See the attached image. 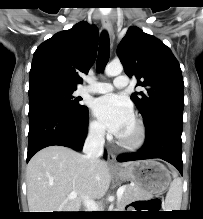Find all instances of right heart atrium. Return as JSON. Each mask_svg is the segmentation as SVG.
Returning a JSON list of instances; mask_svg holds the SVG:
<instances>
[{"label": "right heart atrium", "mask_w": 203, "mask_h": 219, "mask_svg": "<svg viewBox=\"0 0 203 219\" xmlns=\"http://www.w3.org/2000/svg\"><path fill=\"white\" fill-rule=\"evenodd\" d=\"M88 135L95 141H100L104 138L105 131L103 126L97 120H91L88 124Z\"/></svg>", "instance_id": "obj_1"}]
</instances>
